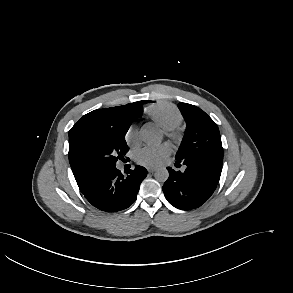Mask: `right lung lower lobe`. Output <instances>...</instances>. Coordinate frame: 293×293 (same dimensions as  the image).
<instances>
[{"mask_svg": "<svg viewBox=\"0 0 293 293\" xmlns=\"http://www.w3.org/2000/svg\"><path fill=\"white\" fill-rule=\"evenodd\" d=\"M123 176L115 167L104 170L85 190L83 195L96 208L105 212H117L128 208L137 198L141 182L147 170L139 165Z\"/></svg>", "mask_w": 293, "mask_h": 293, "instance_id": "98d812e1", "label": "right lung lower lobe"}]
</instances>
